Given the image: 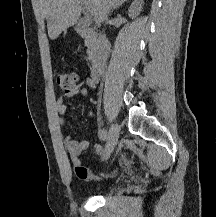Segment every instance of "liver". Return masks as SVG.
Wrapping results in <instances>:
<instances>
[{"instance_id": "6515ba94", "label": "liver", "mask_w": 216, "mask_h": 217, "mask_svg": "<svg viewBox=\"0 0 216 217\" xmlns=\"http://www.w3.org/2000/svg\"><path fill=\"white\" fill-rule=\"evenodd\" d=\"M83 1L91 7L95 16L94 21L102 23L112 8H117L127 0H44L43 11L51 40H55L68 27L77 23Z\"/></svg>"}]
</instances>
